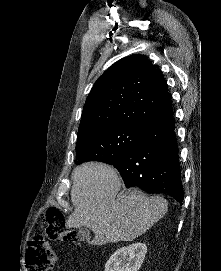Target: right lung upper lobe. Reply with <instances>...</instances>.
<instances>
[{
  "instance_id": "obj_1",
  "label": "right lung upper lobe",
  "mask_w": 221,
  "mask_h": 271,
  "mask_svg": "<svg viewBox=\"0 0 221 271\" xmlns=\"http://www.w3.org/2000/svg\"><path fill=\"white\" fill-rule=\"evenodd\" d=\"M172 113L161 70L145 55L128 56L95 82L83 108L78 137L116 125L146 129Z\"/></svg>"
}]
</instances>
